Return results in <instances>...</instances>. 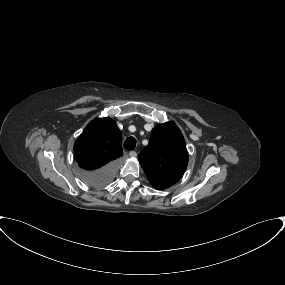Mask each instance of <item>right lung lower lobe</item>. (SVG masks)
<instances>
[{
    "mask_svg": "<svg viewBox=\"0 0 285 285\" xmlns=\"http://www.w3.org/2000/svg\"><path fill=\"white\" fill-rule=\"evenodd\" d=\"M117 167V161H112L102 168L95 171H84L83 181L91 187H104L112 180Z\"/></svg>",
    "mask_w": 285,
    "mask_h": 285,
    "instance_id": "1",
    "label": "right lung lower lobe"
}]
</instances>
